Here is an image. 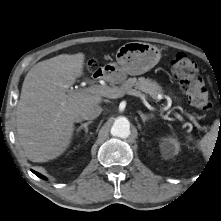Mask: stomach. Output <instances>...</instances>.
<instances>
[{
	"mask_svg": "<svg viewBox=\"0 0 221 221\" xmlns=\"http://www.w3.org/2000/svg\"><path fill=\"white\" fill-rule=\"evenodd\" d=\"M160 50L152 44L129 42L121 46L115 63H109L106 71L113 82L121 83L127 75H141L152 69L160 60Z\"/></svg>",
	"mask_w": 221,
	"mask_h": 221,
	"instance_id": "obj_1",
	"label": "stomach"
}]
</instances>
